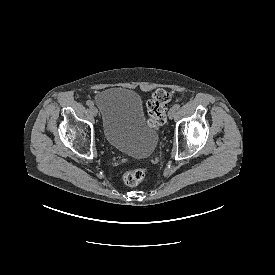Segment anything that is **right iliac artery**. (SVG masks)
<instances>
[{
  "instance_id": "82829eb1",
  "label": "right iliac artery",
  "mask_w": 275,
  "mask_h": 275,
  "mask_svg": "<svg viewBox=\"0 0 275 275\" xmlns=\"http://www.w3.org/2000/svg\"><path fill=\"white\" fill-rule=\"evenodd\" d=\"M86 104L89 106V107H92L94 105L93 101L91 100H87L86 101Z\"/></svg>"
}]
</instances>
